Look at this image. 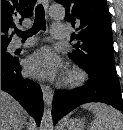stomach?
Listing matches in <instances>:
<instances>
[{"instance_id": "stomach-1", "label": "stomach", "mask_w": 123, "mask_h": 130, "mask_svg": "<svg viewBox=\"0 0 123 130\" xmlns=\"http://www.w3.org/2000/svg\"><path fill=\"white\" fill-rule=\"evenodd\" d=\"M85 122L79 118H73L68 120L67 122V129L68 130H84Z\"/></svg>"}]
</instances>
